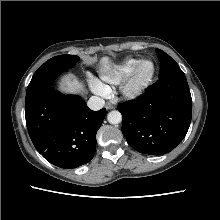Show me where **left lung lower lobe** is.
Here are the masks:
<instances>
[{
    "label": "left lung lower lobe",
    "mask_w": 220,
    "mask_h": 220,
    "mask_svg": "<svg viewBox=\"0 0 220 220\" xmlns=\"http://www.w3.org/2000/svg\"><path fill=\"white\" fill-rule=\"evenodd\" d=\"M122 133L138 152L163 155L185 137L191 122L192 99L184 73L160 78L138 99L124 102Z\"/></svg>",
    "instance_id": "1"
}]
</instances>
